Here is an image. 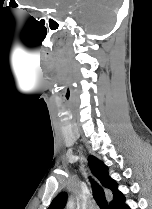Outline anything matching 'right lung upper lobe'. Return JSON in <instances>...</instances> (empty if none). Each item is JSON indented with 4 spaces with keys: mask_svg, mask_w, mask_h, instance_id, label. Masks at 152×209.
<instances>
[{
    "mask_svg": "<svg viewBox=\"0 0 152 209\" xmlns=\"http://www.w3.org/2000/svg\"><path fill=\"white\" fill-rule=\"evenodd\" d=\"M88 161L92 169L93 174L99 179L101 184L110 189L113 194L118 191V185L109 175L108 167L94 156H89ZM67 201L66 192L58 194L51 202L48 209H63Z\"/></svg>",
    "mask_w": 152,
    "mask_h": 209,
    "instance_id": "obj_1",
    "label": "right lung upper lobe"
}]
</instances>
